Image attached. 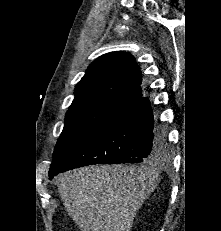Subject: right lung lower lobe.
<instances>
[{"instance_id": "obj_1", "label": "right lung lower lobe", "mask_w": 221, "mask_h": 231, "mask_svg": "<svg viewBox=\"0 0 221 231\" xmlns=\"http://www.w3.org/2000/svg\"><path fill=\"white\" fill-rule=\"evenodd\" d=\"M165 144V133L154 123L149 99L141 97L113 115L68 162L50 171L49 178L91 164L152 161L163 154Z\"/></svg>"}]
</instances>
